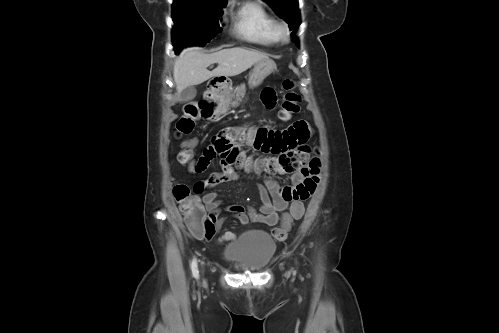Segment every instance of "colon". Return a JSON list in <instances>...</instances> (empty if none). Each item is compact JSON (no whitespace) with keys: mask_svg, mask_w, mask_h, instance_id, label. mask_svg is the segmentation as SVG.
<instances>
[{"mask_svg":"<svg viewBox=\"0 0 499 333\" xmlns=\"http://www.w3.org/2000/svg\"><path fill=\"white\" fill-rule=\"evenodd\" d=\"M285 91L283 101L280 106L279 116L283 120H288L295 116L300 110L301 97L295 90V82L291 79L283 81ZM196 110L191 108L179 118L176 124L177 132L181 135H189L195 127ZM178 160L183 165H189L194 171L196 164L192 163L190 144L186 143L178 155ZM173 195L182 211L185 223L189 231L206 239L214 235V223L210 216L206 214L200 199L191 193L190 188L184 184H176L173 188ZM304 205L301 201H293L287 213L282 219V224L272 231L276 240H285L292 224L301 219L304 215Z\"/></svg>","mask_w":499,"mask_h":333,"instance_id":"colon-1","label":"colon"}]
</instances>
